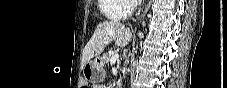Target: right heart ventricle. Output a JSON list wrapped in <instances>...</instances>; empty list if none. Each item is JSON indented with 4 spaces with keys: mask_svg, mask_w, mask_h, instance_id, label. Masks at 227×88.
<instances>
[{
    "mask_svg": "<svg viewBox=\"0 0 227 88\" xmlns=\"http://www.w3.org/2000/svg\"><path fill=\"white\" fill-rule=\"evenodd\" d=\"M126 0H98L101 14L109 20H120L129 13Z\"/></svg>",
    "mask_w": 227,
    "mask_h": 88,
    "instance_id": "right-heart-ventricle-1",
    "label": "right heart ventricle"
}]
</instances>
